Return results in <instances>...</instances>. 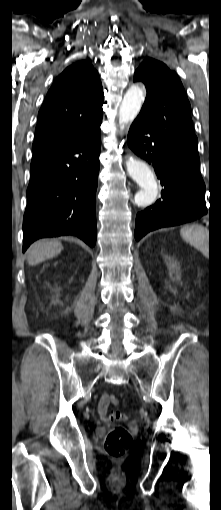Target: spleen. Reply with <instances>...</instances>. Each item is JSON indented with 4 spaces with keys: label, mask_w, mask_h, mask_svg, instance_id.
I'll list each match as a JSON object with an SVG mask.
<instances>
[{
    "label": "spleen",
    "mask_w": 221,
    "mask_h": 510,
    "mask_svg": "<svg viewBox=\"0 0 221 510\" xmlns=\"http://www.w3.org/2000/svg\"><path fill=\"white\" fill-rule=\"evenodd\" d=\"M182 238L190 245L198 249L204 255L209 253V231L199 225L184 226L181 231Z\"/></svg>",
    "instance_id": "1"
}]
</instances>
